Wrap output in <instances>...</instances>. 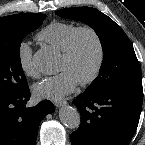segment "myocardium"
I'll return each instance as SVG.
<instances>
[{
  "instance_id": "obj_1",
  "label": "myocardium",
  "mask_w": 145,
  "mask_h": 145,
  "mask_svg": "<svg viewBox=\"0 0 145 145\" xmlns=\"http://www.w3.org/2000/svg\"><path fill=\"white\" fill-rule=\"evenodd\" d=\"M83 33H88L92 36L97 48V60L93 71L88 77L79 81L80 85L87 86L93 83L98 78L105 61V48L103 40L98 31L95 28L88 25L79 26L70 37L66 48L62 51L61 56L66 60H69L74 56L78 39Z\"/></svg>"
}]
</instances>
